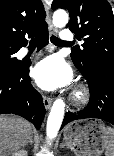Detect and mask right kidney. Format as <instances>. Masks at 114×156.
I'll use <instances>...</instances> for the list:
<instances>
[{
  "instance_id": "obj_1",
  "label": "right kidney",
  "mask_w": 114,
  "mask_h": 156,
  "mask_svg": "<svg viewBox=\"0 0 114 156\" xmlns=\"http://www.w3.org/2000/svg\"><path fill=\"white\" fill-rule=\"evenodd\" d=\"M12 156H28V152L26 150H20L13 153Z\"/></svg>"
}]
</instances>
